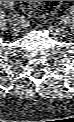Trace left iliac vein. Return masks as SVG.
<instances>
[{"mask_svg":"<svg viewBox=\"0 0 74 122\" xmlns=\"http://www.w3.org/2000/svg\"><path fill=\"white\" fill-rule=\"evenodd\" d=\"M69 21V17L68 16H63L61 19V22L66 24ZM68 33L67 29L65 27H61L57 29V33L56 35L58 36H66Z\"/></svg>","mask_w":74,"mask_h":122,"instance_id":"left-iliac-vein-1","label":"left iliac vein"}]
</instances>
